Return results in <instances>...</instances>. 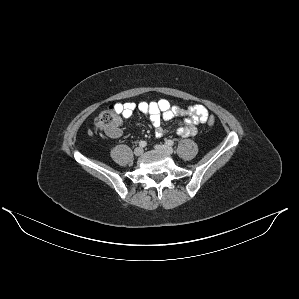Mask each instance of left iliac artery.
Listing matches in <instances>:
<instances>
[{"mask_svg":"<svg viewBox=\"0 0 299 299\" xmlns=\"http://www.w3.org/2000/svg\"><path fill=\"white\" fill-rule=\"evenodd\" d=\"M166 144L168 146H172V145H174V142L172 140H166Z\"/></svg>","mask_w":299,"mask_h":299,"instance_id":"left-iliac-artery-1","label":"left iliac artery"}]
</instances>
